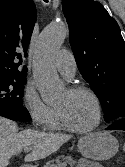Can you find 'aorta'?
Listing matches in <instances>:
<instances>
[{"instance_id": "1", "label": "aorta", "mask_w": 125, "mask_h": 167, "mask_svg": "<svg viewBox=\"0 0 125 167\" xmlns=\"http://www.w3.org/2000/svg\"><path fill=\"white\" fill-rule=\"evenodd\" d=\"M66 35V26L59 21L49 24L39 36L33 76L45 103L55 101L63 90L54 65V55L60 49Z\"/></svg>"}]
</instances>
